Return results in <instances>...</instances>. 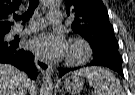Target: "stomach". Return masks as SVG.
I'll return each mask as SVG.
<instances>
[{"instance_id": "0dacf381", "label": "stomach", "mask_w": 135, "mask_h": 95, "mask_svg": "<svg viewBox=\"0 0 135 95\" xmlns=\"http://www.w3.org/2000/svg\"><path fill=\"white\" fill-rule=\"evenodd\" d=\"M84 86L83 79L76 74H73L64 80V87L70 95H78Z\"/></svg>"}]
</instances>
